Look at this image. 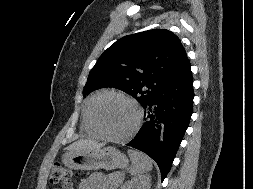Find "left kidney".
Masks as SVG:
<instances>
[{"mask_svg":"<svg viewBox=\"0 0 253 189\" xmlns=\"http://www.w3.org/2000/svg\"><path fill=\"white\" fill-rule=\"evenodd\" d=\"M151 178L148 175L133 178L121 186V189H150Z\"/></svg>","mask_w":253,"mask_h":189,"instance_id":"left-kidney-1","label":"left kidney"}]
</instances>
